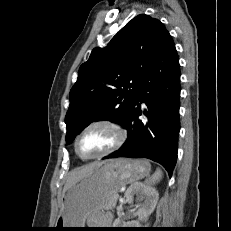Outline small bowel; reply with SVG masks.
I'll list each match as a JSON object with an SVG mask.
<instances>
[{"label":"small bowel","mask_w":231,"mask_h":231,"mask_svg":"<svg viewBox=\"0 0 231 231\" xmlns=\"http://www.w3.org/2000/svg\"><path fill=\"white\" fill-rule=\"evenodd\" d=\"M109 217H110V216H109L108 214H104V215H103V219H105V220L109 219Z\"/></svg>","instance_id":"c3829d8e"}]
</instances>
